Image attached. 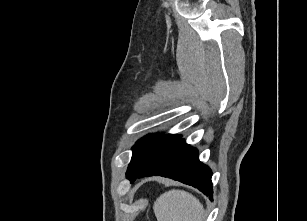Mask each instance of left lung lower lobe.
Here are the masks:
<instances>
[{"mask_svg": "<svg viewBox=\"0 0 307 221\" xmlns=\"http://www.w3.org/2000/svg\"><path fill=\"white\" fill-rule=\"evenodd\" d=\"M159 175L169 177L182 183L192 185L212 198L211 170L203 165L198 158V151L186 144L184 139H178L160 156L141 170L135 177Z\"/></svg>", "mask_w": 307, "mask_h": 221, "instance_id": "obj_1", "label": "left lung lower lobe"}]
</instances>
